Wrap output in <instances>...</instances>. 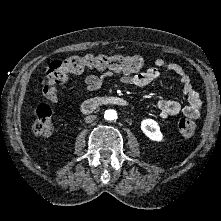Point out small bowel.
I'll list each match as a JSON object with an SVG mask.
<instances>
[{"mask_svg": "<svg viewBox=\"0 0 221 221\" xmlns=\"http://www.w3.org/2000/svg\"><path fill=\"white\" fill-rule=\"evenodd\" d=\"M155 65L142 72L126 74L118 77L114 82L118 85H131L135 87H143L155 81L160 74V70L168 71L178 77L182 83V95L186 99L187 104L181 106L180 103L173 100H162L158 103V115L160 118L168 117L182 113L184 116L196 119L200 115L201 98L199 93L194 89L190 76L184 68L175 62H167L164 58H156ZM111 80L109 72L103 74H87L84 77L85 87L81 90L93 91L108 84ZM51 102H56V99H49Z\"/></svg>", "mask_w": 221, "mask_h": 221, "instance_id": "1", "label": "small bowel"}]
</instances>
